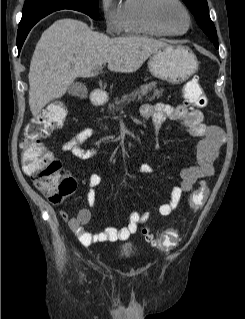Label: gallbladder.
<instances>
[{
  "label": "gallbladder",
  "instance_id": "gallbladder-1",
  "mask_svg": "<svg viewBox=\"0 0 245 319\" xmlns=\"http://www.w3.org/2000/svg\"><path fill=\"white\" fill-rule=\"evenodd\" d=\"M68 93L75 97H85L87 95V88L84 84L76 82L69 86Z\"/></svg>",
  "mask_w": 245,
  "mask_h": 319
}]
</instances>
